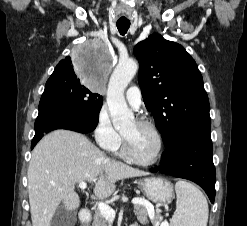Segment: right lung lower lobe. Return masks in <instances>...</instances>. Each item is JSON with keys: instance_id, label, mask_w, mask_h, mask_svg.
Segmentation results:
<instances>
[{"instance_id": "obj_1", "label": "right lung lower lobe", "mask_w": 247, "mask_h": 226, "mask_svg": "<svg viewBox=\"0 0 247 226\" xmlns=\"http://www.w3.org/2000/svg\"><path fill=\"white\" fill-rule=\"evenodd\" d=\"M99 119L95 116L75 110L56 99L45 98L39 103V114L35 121V136L31 149L48 133L55 129H67L80 133L93 131Z\"/></svg>"}]
</instances>
